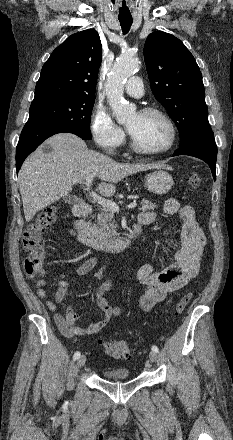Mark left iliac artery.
Instances as JSON below:
<instances>
[{
    "label": "left iliac artery",
    "mask_w": 233,
    "mask_h": 440,
    "mask_svg": "<svg viewBox=\"0 0 233 440\" xmlns=\"http://www.w3.org/2000/svg\"><path fill=\"white\" fill-rule=\"evenodd\" d=\"M151 349H152V351H154L156 353L159 351L158 347L155 345H153Z\"/></svg>",
    "instance_id": "1"
}]
</instances>
